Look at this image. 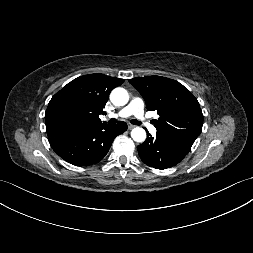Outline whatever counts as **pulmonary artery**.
<instances>
[{
    "label": "pulmonary artery",
    "instance_id": "obj_1",
    "mask_svg": "<svg viewBox=\"0 0 253 253\" xmlns=\"http://www.w3.org/2000/svg\"><path fill=\"white\" fill-rule=\"evenodd\" d=\"M129 116H135L151 133L154 134L156 132V128L144 113V102L141 98H133L131 102L117 114H110L108 117L127 118Z\"/></svg>",
    "mask_w": 253,
    "mask_h": 253
}]
</instances>
